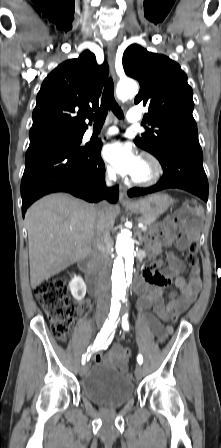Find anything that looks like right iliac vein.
<instances>
[{"mask_svg": "<svg viewBox=\"0 0 221 448\" xmlns=\"http://www.w3.org/2000/svg\"><path fill=\"white\" fill-rule=\"evenodd\" d=\"M103 323H104V319H99L97 321L98 328H101L103 326ZM88 368H89V366L87 363L83 364L79 369L80 376H83L88 371Z\"/></svg>", "mask_w": 221, "mask_h": 448, "instance_id": "1", "label": "right iliac vein"}]
</instances>
